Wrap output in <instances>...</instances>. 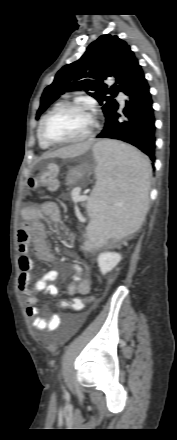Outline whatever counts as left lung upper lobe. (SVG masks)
<instances>
[{
    "mask_svg": "<svg viewBox=\"0 0 177 440\" xmlns=\"http://www.w3.org/2000/svg\"><path fill=\"white\" fill-rule=\"evenodd\" d=\"M141 71L137 58L125 41L116 35H102L89 45L79 60L58 71L53 83L42 94L36 119L59 95L81 89L102 105L107 119L118 107L112 97L119 91L125 93ZM107 78L115 80V84L109 89L103 83ZM107 94L111 97L106 96Z\"/></svg>",
    "mask_w": 177,
    "mask_h": 440,
    "instance_id": "1",
    "label": "left lung upper lobe"
}]
</instances>
